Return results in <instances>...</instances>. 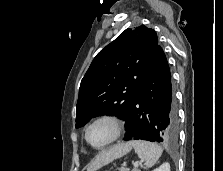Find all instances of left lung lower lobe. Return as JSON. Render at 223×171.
<instances>
[{
	"instance_id": "left-lung-lower-lobe-1",
	"label": "left lung lower lobe",
	"mask_w": 223,
	"mask_h": 171,
	"mask_svg": "<svg viewBox=\"0 0 223 171\" xmlns=\"http://www.w3.org/2000/svg\"><path fill=\"white\" fill-rule=\"evenodd\" d=\"M124 141L173 143L178 137V116L166 56L158 46L125 120Z\"/></svg>"
}]
</instances>
